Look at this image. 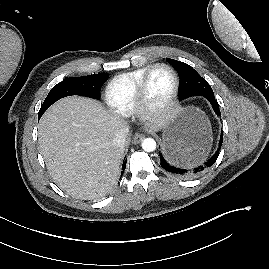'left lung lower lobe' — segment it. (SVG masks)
<instances>
[{
  "label": "left lung lower lobe",
  "mask_w": 269,
  "mask_h": 269,
  "mask_svg": "<svg viewBox=\"0 0 269 269\" xmlns=\"http://www.w3.org/2000/svg\"><path fill=\"white\" fill-rule=\"evenodd\" d=\"M212 105L214 112L220 115L219 105L216 101L214 94L203 95ZM182 100V99H181ZM223 141V134L221 132V137L219 141V146H221ZM219 151H216L212 157L206 160L204 163L197 165H191L185 167L180 162H178L173 156L166 155L165 153H160L161 167L168 171L169 173L176 175L178 177L193 178L201 174L205 169L211 167L217 160Z\"/></svg>",
  "instance_id": "1"
}]
</instances>
